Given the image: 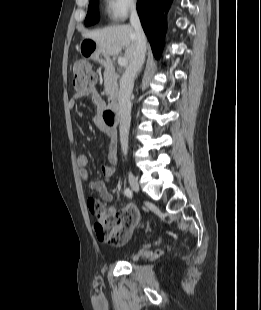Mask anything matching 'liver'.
<instances>
[{
    "mask_svg": "<svg viewBox=\"0 0 261 310\" xmlns=\"http://www.w3.org/2000/svg\"><path fill=\"white\" fill-rule=\"evenodd\" d=\"M92 39L104 56H116L122 48H126L124 58L129 62L135 52L136 35L134 28L129 25H117L84 34Z\"/></svg>",
    "mask_w": 261,
    "mask_h": 310,
    "instance_id": "obj_1",
    "label": "liver"
}]
</instances>
